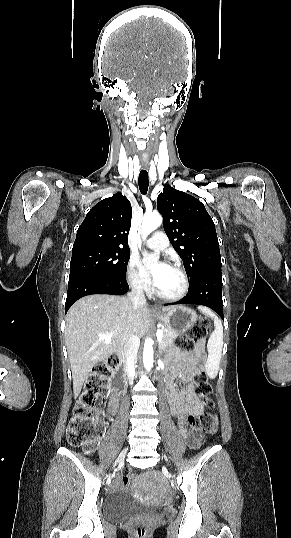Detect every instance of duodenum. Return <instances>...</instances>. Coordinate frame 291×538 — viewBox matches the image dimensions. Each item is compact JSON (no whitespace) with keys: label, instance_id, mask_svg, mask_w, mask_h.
Listing matches in <instances>:
<instances>
[{"label":"duodenum","instance_id":"obj_1","mask_svg":"<svg viewBox=\"0 0 291 538\" xmlns=\"http://www.w3.org/2000/svg\"><path fill=\"white\" fill-rule=\"evenodd\" d=\"M118 364L116 365L115 372L117 374L111 375L108 384L110 388H112L113 392L123 394L126 391V385L123 380V375H120L121 372H124L125 368V361L127 360V357L125 355H122L121 357H118ZM116 396V395H115ZM117 398V396H116Z\"/></svg>","mask_w":291,"mask_h":538}]
</instances>
